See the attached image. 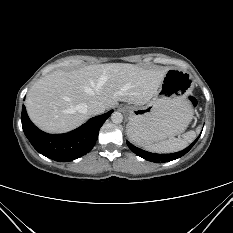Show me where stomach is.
<instances>
[{"label":"stomach","instance_id":"obj_1","mask_svg":"<svg viewBox=\"0 0 233 233\" xmlns=\"http://www.w3.org/2000/svg\"><path fill=\"white\" fill-rule=\"evenodd\" d=\"M194 87L190 73L170 68L146 106H127V133L136 135L143 144H154L185 131L193 118L188 100Z\"/></svg>","mask_w":233,"mask_h":233}]
</instances>
